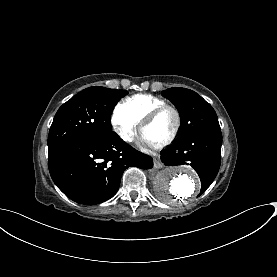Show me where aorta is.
Wrapping results in <instances>:
<instances>
[{"instance_id":"1","label":"aorta","mask_w":277,"mask_h":277,"mask_svg":"<svg viewBox=\"0 0 277 277\" xmlns=\"http://www.w3.org/2000/svg\"><path fill=\"white\" fill-rule=\"evenodd\" d=\"M158 196L170 204L184 203L198 194L201 188L197 174L182 167L161 170L154 181Z\"/></svg>"}]
</instances>
